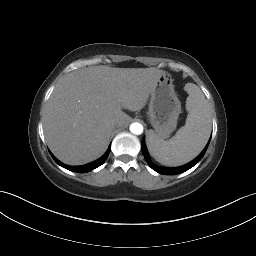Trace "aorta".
I'll use <instances>...</instances> for the list:
<instances>
[{
	"mask_svg": "<svg viewBox=\"0 0 256 256\" xmlns=\"http://www.w3.org/2000/svg\"><path fill=\"white\" fill-rule=\"evenodd\" d=\"M130 131L135 135H140L143 133V125L138 122L132 123L130 125Z\"/></svg>",
	"mask_w": 256,
	"mask_h": 256,
	"instance_id": "aorta-1",
	"label": "aorta"
}]
</instances>
